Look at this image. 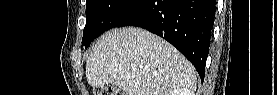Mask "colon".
Returning <instances> with one entry per match:
<instances>
[{
    "instance_id": "1",
    "label": "colon",
    "mask_w": 277,
    "mask_h": 95,
    "mask_svg": "<svg viewBox=\"0 0 277 95\" xmlns=\"http://www.w3.org/2000/svg\"><path fill=\"white\" fill-rule=\"evenodd\" d=\"M122 94L117 91L114 87H96L94 90V95H118Z\"/></svg>"
}]
</instances>
